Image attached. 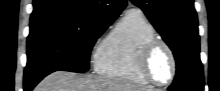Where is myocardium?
Wrapping results in <instances>:
<instances>
[{"mask_svg":"<svg viewBox=\"0 0 220 91\" xmlns=\"http://www.w3.org/2000/svg\"><path fill=\"white\" fill-rule=\"evenodd\" d=\"M159 47H162L167 51L170 57V60H171V74H170L169 79L166 82L157 81L156 79L152 77L149 71L150 57L152 56L153 52ZM137 66H138L139 73L148 83L153 84L155 86H162V87L168 86L169 84L173 82L176 76V71H177L176 57H175V54L172 48L165 41L158 39V38H154L143 45L138 55Z\"/></svg>","mask_w":220,"mask_h":91,"instance_id":"myocardium-1","label":"myocardium"}]
</instances>
